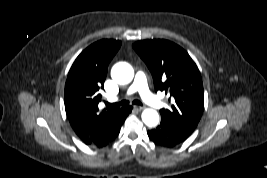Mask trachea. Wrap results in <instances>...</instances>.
I'll list each match as a JSON object with an SVG mask.
<instances>
[{"mask_svg": "<svg viewBox=\"0 0 267 178\" xmlns=\"http://www.w3.org/2000/svg\"><path fill=\"white\" fill-rule=\"evenodd\" d=\"M128 103H129L128 100H123V101L118 102V103H107V106L112 107V108H118L120 106H125ZM132 103L135 105H142V103L139 100H133Z\"/></svg>", "mask_w": 267, "mask_h": 178, "instance_id": "3493384b", "label": "trachea"}]
</instances>
